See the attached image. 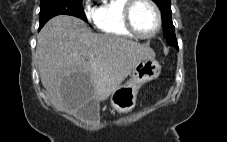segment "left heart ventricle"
Instances as JSON below:
<instances>
[{"mask_svg": "<svg viewBox=\"0 0 227 142\" xmlns=\"http://www.w3.org/2000/svg\"><path fill=\"white\" fill-rule=\"evenodd\" d=\"M133 23L142 34H150L157 27V16L154 9L146 2H140L133 11Z\"/></svg>", "mask_w": 227, "mask_h": 142, "instance_id": "1", "label": "left heart ventricle"}]
</instances>
